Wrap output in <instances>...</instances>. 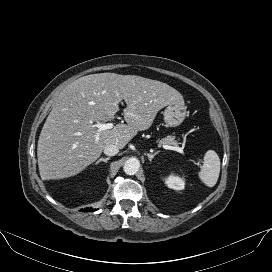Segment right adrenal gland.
Segmentation results:
<instances>
[{
    "label": "right adrenal gland",
    "instance_id": "1",
    "mask_svg": "<svg viewBox=\"0 0 272 272\" xmlns=\"http://www.w3.org/2000/svg\"><path fill=\"white\" fill-rule=\"evenodd\" d=\"M110 159V157H107V158H100L97 162H96V165L99 164L100 162H105L107 163V161Z\"/></svg>",
    "mask_w": 272,
    "mask_h": 272
}]
</instances>
